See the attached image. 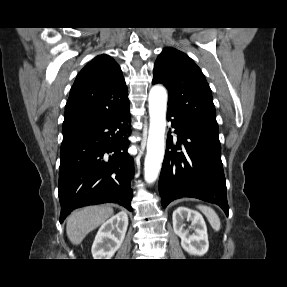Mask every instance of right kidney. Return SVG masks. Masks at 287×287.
<instances>
[{
	"mask_svg": "<svg viewBox=\"0 0 287 287\" xmlns=\"http://www.w3.org/2000/svg\"><path fill=\"white\" fill-rule=\"evenodd\" d=\"M128 216L122 211L104 222L93 242L91 252L94 259H111L120 248L127 231Z\"/></svg>",
	"mask_w": 287,
	"mask_h": 287,
	"instance_id": "right-kidney-1",
	"label": "right kidney"
}]
</instances>
